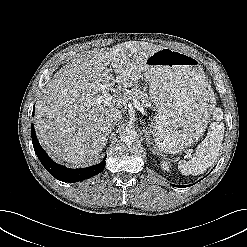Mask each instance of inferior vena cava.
<instances>
[{
    "instance_id": "602c4592",
    "label": "inferior vena cava",
    "mask_w": 247,
    "mask_h": 247,
    "mask_svg": "<svg viewBox=\"0 0 247 247\" xmlns=\"http://www.w3.org/2000/svg\"><path fill=\"white\" fill-rule=\"evenodd\" d=\"M122 114L120 112L108 113L105 117V125L107 128H113L121 119Z\"/></svg>"
}]
</instances>
